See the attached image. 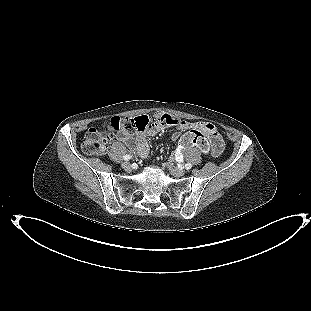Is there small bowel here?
Returning a JSON list of instances; mask_svg holds the SVG:
<instances>
[{
    "mask_svg": "<svg viewBox=\"0 0 311 311\" xmlns=\"http://www.w3.org/2000/svg\"><path fill=\"white\" fill-rule=\"evenodd\" d=\"M187 128H194L203 131L210 139V148H206L205 150L209 151V153L213 157H219L223 151L224 142L219 134L217 128L209 122H185L183 126L178 127V132H175L172 135V140L175 142H181L180 131ZM164 131V127L161 125L152 126L147 129L145 132L139 134L136 138L130 137L128 134H120L118 139L124 142L129 150L136 155L141 157H146L149 153V145L147 142L148 137H152L157 135L159 132ZM182 149L177 148L176 155L181 156Z\"/></svg>",
    "mask_w": 311,
    "mask_h": 311,
    "instance_id": "small-bowel-1",
    "label": "small bowel"
}]
</instances>
